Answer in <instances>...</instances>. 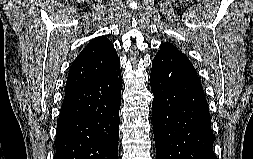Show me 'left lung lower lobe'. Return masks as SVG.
Wrapping results in <instances>:
<instances>
[{
  "mask_svg": "<svg viewBox=\"0 0 253 159\" xmlns=\"http://www.w3.org/2000/svg\"><path fill=\"white\" fill-rule=\"evenodd\" d=\"M150 84L156 159H217L207 101L189 59L159 51Z\"/></svg>",
  "mask_w": 253,
  "mask_h": 159,
  "instance_id": "0a47b994",
  "label": "left lung lower lobe"
}]
</instances>
